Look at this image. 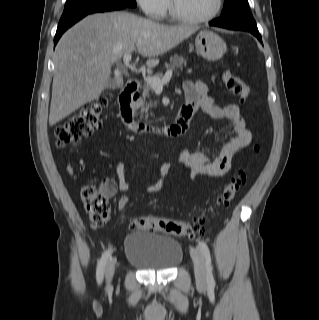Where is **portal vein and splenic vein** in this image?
Returning <instances> with one entry per match:
<instances>
[{
  "instance_id": "obj_1",
  "label": "portal vein and splenic vein",
  "mask_w": 319,
  "mask_h": 320,
  "mask_svg": "<svg viewBox=\"0 0 319 320\" xmlns=\"http://www.w3.org/2000/svg\"><path fill=\"white\" fill-rule=\"evenodd\" d=\"M131 61V54L126 53L123 56V62L128 64ZM172 76V70H168L162 79L155 77H147L146 83L149 84L155 90H162L163 85L169 82Z\"/></svg>"
}]
</instances>
